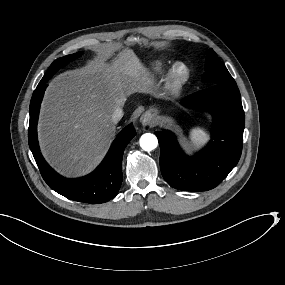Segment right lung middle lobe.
Instances as JSON below:
<instances>
[{"label": "right lung middle lobe", "instance_id": "right-lung-middle-lobe-1", "mask_svg": "<svg viewBox=\"0 0 285 285\" xmlns=\"http://www.w3.org/2000/svg\"><path fill=\"white\" fill-rule=\"evenodd\" d=\"M81 55H82V52H77L75 54L67 55V56L56 59L51 64V66L49 67V69L47 70L43 78L41 79L40 84H45L61 67L67 65L69 62L75 60Z\"/></svg>", "mask_w": 285, "mask_h": 285}]
</instances>
